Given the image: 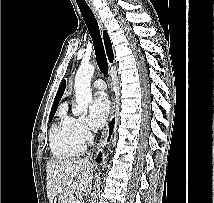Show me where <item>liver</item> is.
<instances>
[{
	"mask_svg": "<svg viewBox=\"0 0 214 203\" xmlns=\"http://www.w3.org/2000/svg\"><path fill=\"white\" fill-rule=\"evenodd\" d=\"M92 173L93 167L87 159L49 161L46 167L49 202L53 203L58 197V203H67L74 193L80 196L89 191L92 185ZM67 181H72V184L65 185L66 188L58 192V188Z\"/></svg>",
	"mask_w": 214,
	"mask_h": 203,
	"instance_id": "6515ba94",
	"label": "liver"
}]
</instances>
